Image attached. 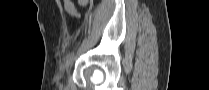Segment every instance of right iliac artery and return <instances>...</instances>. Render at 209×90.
<instances>
[{"label":"right iliac artery","instance_id":"82829eb1","mask_svg":"<svg viewBox=\"0 0 209 90\" xmlns=\"http://www.w3.org/2000/svg\"><path fill=\"white\" fill-rule=\"evenodd\" d=\"M74 56V53H69L68 56H67V61L71 60Z\"/></svg>","mask_w":209,"mask_h":90}]
</instances>
